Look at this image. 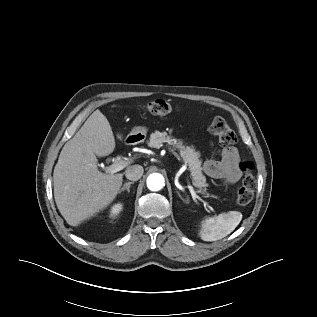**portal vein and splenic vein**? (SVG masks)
Wrapping results in <instances>:
<instances>
[{
    "mask_svg": "<svg viewBox=\"0 0 317 317\" xmlns=\"http://www.w3.org/2000/svg\"><path fill=\"white\" fill-rule=\"evenodd\" d=\"M128 164H129V162L123 161L120 156H117L116 159H115L114 164H112L109 167H107V170L110 171L113 174V173H116V172H119V171L123 170ZM189 188H190V192L192 194V197L200 199L195 194V191L193 190V187L190 186ZM203 203H204V206L209 209V211H211L215 216H217L216 210L211 205H209L206 202H203Z\"/></svg>",
    "mask_w": 317,
    "mask_h": 317,
    "instance_id": "1",
    "label": "portal vein and splenic vein"
}]
</instances>
